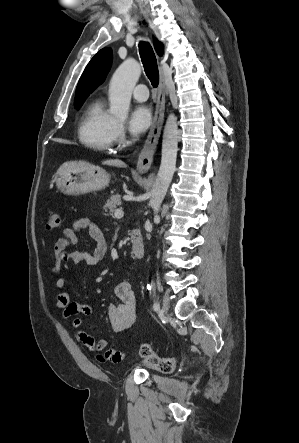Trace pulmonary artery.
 <instances>
[{
  "instance_id": "1",
  "label": "pulmonary artery",
  "mask_w": 299,
  "mask_h": 443,
  "mask_svg": "<svg viewBox=\"0 0 299 443\" xmlns=\"http://www.w3.org/2000/svg\"><path fill=\"white\" fill-rule=\"evenodd\" d=\"M148 96H149L148 88L144 84H138L133 89V97L137 101H140V102L146 101L148 99Z\"/></svg>"
}]
</instances>
